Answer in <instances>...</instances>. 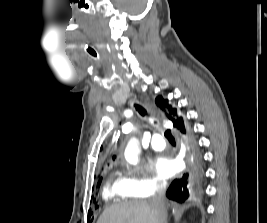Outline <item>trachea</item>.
Wrapping results in <instances>:
<instances>
[{
  "label": "trachea",
  "instance_id": "obj_1",
  "mask_svg": "<svg viewBox=\"0 0 267 223\" xmlns=\"http://www.w3.org/2000/svg\"><path fill=\"white\" fill-rule=\"evenodd\" d=\"M135 107H136V110L139 112L140 115H142V116H148L146 110H145L143 107H141L140 105H135ZM155 123H156V122H155ZM164 136H165V138H166L169 142H171V143H175V139H174V137H173V135H172V133H171V130H166V131L164 132Z\"/></svg>",
  "mask_w": 267,
  "mask_h": 223
}]
</instances>
